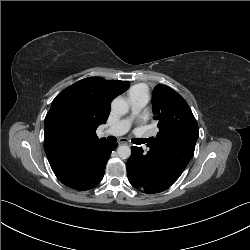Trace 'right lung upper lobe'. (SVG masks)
<instances>
[{"instance_id": "1", "label": "right lung upper lobe", "mask_w": 250, "mask_h": 250, "mask_svg": "<svg viewBox=\"0 0 250 250\" xmlns=\"http://www.w3.org/2000/svg\"><path fill=\"white\" fill-rule=\"evenodd\" d=\"M128 85V81L89 77L55 97L45 117L44 148L62 183L75 185L82 180V162L97 144L106 141L97 137L96 129L106 122L111 101Z\"/></svg>"}]
</instances>
